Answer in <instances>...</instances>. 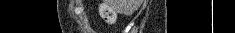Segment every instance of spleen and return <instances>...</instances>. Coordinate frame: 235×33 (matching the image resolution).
I'll list each match as a JSON object with an SVG mask.
<instances>
[{"instance_id": "spleen-1", "label": "spleen", "mask_w": 235, "mask_h": 33, "mask_svg": "<svg viewBox=\"0 0 235 33\" xmlns=\"http://www.w3.org/2000/svg\"><path fill=\"white\" fill-rule=\"evenodd\" d=\"M129 9H131L130 6H126L125 7V10H129Z\"/></svg>"}]
</instances>
